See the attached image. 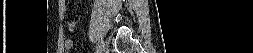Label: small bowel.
I'll list each match as a JSON object with an SVG mask.
<instances>
[{
  "label": "small bowel",
  "mask_w": 253,
  "mask_h": 53,
  "mask_svg": "<svg viewBox=\"0 0 253 53\" xmlns=\"http://www.w3.org/2000/svg\"><path fill=\"white\" fill-rule=\"evenodd\" d=\"M74 27H75V23L74 22H71L70 24H69V26H68V30L69 31H71V30H73L74 29ZM64 46H65V48L66 49H71L72 48V46H73V42L71 41V40H66L65 42H64Z\"/></svg>",
  "instance_id": "c3829d8e"
}]
</instances>
